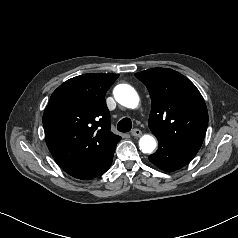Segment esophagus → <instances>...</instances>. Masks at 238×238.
Here are the masks:
<instances>
[{"instance_id": "obj_1", "label": "esophagus", "mask_w": 238, "mask_h": 238, "mask_svg": "<svg viewBox=\"0 0 238 238\" xmlns=\"http://www.w3.org/2000/svg\"><path fill=\"white\" fill-rule=\"evenodd\" d=\"M141 134H142V132H141L140 129H133L131 131V135L134 136V137H139V136H141Z\"/></svg>"}]
</instances>
